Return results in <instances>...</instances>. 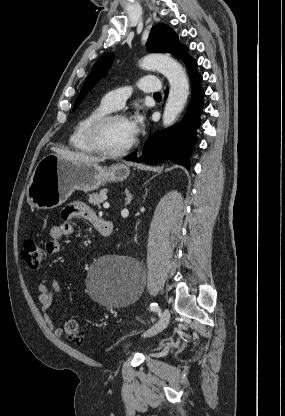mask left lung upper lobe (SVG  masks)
<instances>
[{"instance_id": "5c2ea615", "label": "left lung upper lobe", "mask_w": 285, "mask_h": 416, "mask_svg": "<svg viewBox=\"0 0 285 416\" xmlns=\"http://www.w3.org/2000/svg\"><path fill=\"white\" fill-rule=\"evenodd\" d=\"M146 48L150 52H166L173 54L176 57L183 59L185 63L192 59L186 55L187 47L179 43L177 34L165 24H158L152 27L146 43ZM112 61L113 55L110 53L104 54L97 61L83 84L80 94L74 103L73 111L78 107L100 78L107 73L108 67Z\"/></svg>"}]
</instances>
